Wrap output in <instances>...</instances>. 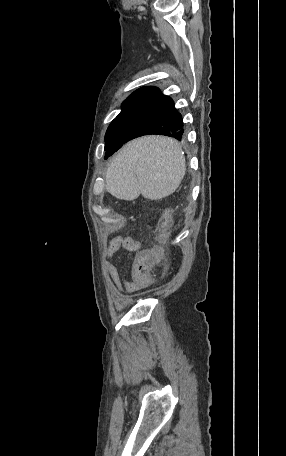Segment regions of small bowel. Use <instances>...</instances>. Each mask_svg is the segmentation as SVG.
Returning <instances> with one entry per match:
<instances>
[{
	"label": "small bowel",
	"mask_w": 286,
	"mask_h": 456,
	"mask_svg": "<svg viewBox=\"0 0 286 456\" xmlns=\"http://www.w3.org/2000/svg\"><path fill=\"white\" fill-rule=\"evenodd\" d=\"M139 247L140 243L138 241L128 237L117 236L110 241L108 248V257L110 261L107 262L106 268L110 279L120 291L126 290L127 292H135L140 288L133 282L132 279L125 278L122 281L120 273L112 260L116 257L121 249H124L128 255H131L133 252L137 251Z\"/></svg>",
	"instance_id": "small-bowel-1"
}]
</instances>
